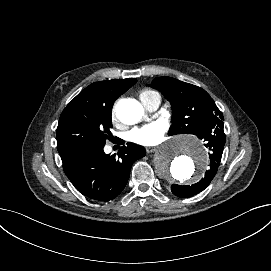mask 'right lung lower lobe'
Wrapping results in <instances>:
<instances>
[{
	"label": "right lung lower lobe",
	"instance_id": "right-lung-lower-lobe-1",
	"mask_svg": "<svg viewBox=\"0 0 271 271\" xmlns=\"http://www.w3.org/2000/svg\"><path fill=\"white\" fill-rule=\"evenodd\" d=\"M104 145L84 146L61 156L63 169L74 187L89 199L107 202L116 198L125 188L132 164L145 156L143 147L128 143L110 156Z\"/></svg>",
	"mask_w": 271,
	"mask_h": 271
}]
</instances>
